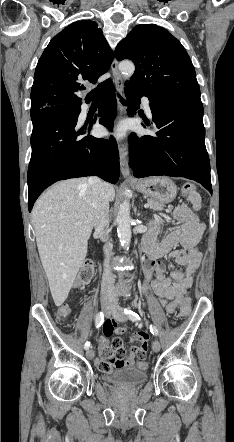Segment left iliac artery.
<instances>
[{
  "mask_svg": "<svg viewBox=\"0 0 234 442\" xmlns=\"http://www.w3.org/2000/svg\"><path fill=\"white\" fill-rule=\"evenodd\" d=\"M124 312H125V314L128 316V318H129L131 321H137V320H140L139 315H138L137 313H135L134 311H132V310H128V309L125 308V309H124ZM150 331H151V333H152L153 335H155V336L158 335V330H157V328H156L155 326L151 325V326H150Z\"/></svg>",
  "mask_w": 234,
  "mask_h": 442,
  "instance_id": "obj_1",
  "label": "left iliac artery"
}]
</instances>
